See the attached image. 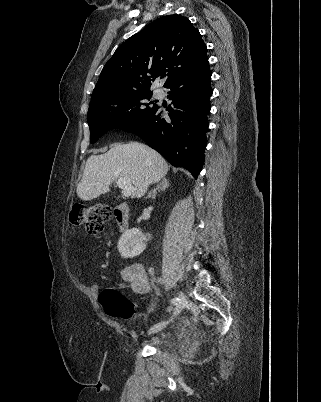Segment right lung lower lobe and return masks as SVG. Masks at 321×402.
<instances>
[{
	"instance_id": "right-lung-lower-lobe-1",
	"label": "right lung lower lobe",
	"mask_w": 321,
	"mask_h": 402,
	"mask_svg": "<svg viewBox=\"0 0 321 402\" xmlns=\"http://www.w3.org/2000/svg\"><path fill=\"white\" fill-rule=\"evenodd\" d=\"M210 81L209 64L175 79L166 86L172 100L167 108L169 118H163V110L157 106L148 116L121 129L136 134L173 166L184 167L197 178L207 145V114L213 93Z\"/></svg>"
}]
</instances>
